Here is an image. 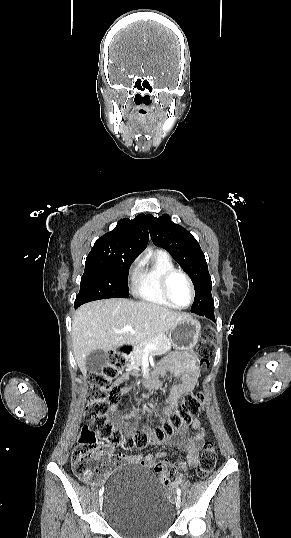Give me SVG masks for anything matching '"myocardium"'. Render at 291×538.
Here are the masks:
<instances>
[{"mask_svg": "<svg viewBox=\"0 0 291 538\" xmlns=\"http://www.w3.org/2000/svg\"><path fill=\"white\" fill-rule=\"evenodd\" d=\"M178 274L184 277V279L188 283V286H189V289H190V301L185 306L177 305L173 301V299H172V297L170 295V290H169L170 281L175 275H178ZM161 285H162V292H163L164 297L166 298V300L173 307L178 308V309H186V308L190 307L193 304L194 299H195V288H194V284H193L190 276L185 271L175 268V269H172V270L166 272L164 274L163 278H162Z\"/></svg>", "mask_w": 291, "mask_h": 538, "instance_id": "f54148a6", "label": "myocardium"}]
</instances>
